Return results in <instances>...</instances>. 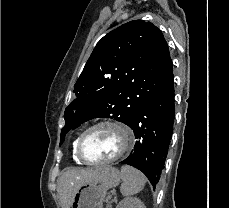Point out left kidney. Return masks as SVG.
Instances as JSON below:
<instances>
[{"label": "left kidney", "instance_id": "5707ae66", "mask_svg": "<svg viewBox=\"0 0 229 208\" xmlns=\"http://www.w3.org/2000/svg\"><path fill=\"white\" fill-rule=\"evenodd\" d=\"M117 208H145V206L138 198H124Z\"/></svg>", "mask_w": 229, "mask_h": 208}]
</instances>
